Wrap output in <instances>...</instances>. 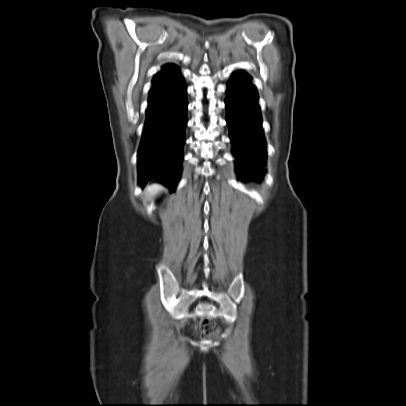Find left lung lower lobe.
<instances>
[{
  "mask_svg": "<svg viewBox=\"0 0 406 406\" xmlns=\"http://www.w3.org/2000/svg\"><path fill=\"white\" fill-rule=\"evenodd\" d=\"M225 105L239 177H262L265 174L262 167L265 165L266 144L258 95L247 74L236 72L227 83Z\"/></svg>",
  "mask_w": 406,
  "mask_h": 406,
  "instance_id": "1",
  "label": "left lung lower lobe"
}]
</instances>
